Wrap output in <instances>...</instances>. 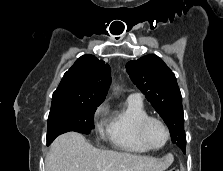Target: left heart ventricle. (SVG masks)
Here are the masks:
<instances>
[{
    "mask_svg": "<svg viewBox=\"0 0 223 171\" xmlns=\"http://www.w3.org/2000/svg\"><path fill=\"white\" fill-rule=\"evenodd\" d=\"M147 138L154 146L162 145L166 140V131L158 122H151L147 127Z\"/></svg>",
    "mask_w": 223,
    "mask_h": 171,
    "instance_id": "1",
    "label": "left heart ventricle"
}]
</instances>
